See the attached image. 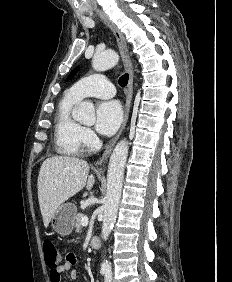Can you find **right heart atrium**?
Listing matches in <instances>:
<instances>
[{
	"label": "right heart atrium",
	"mask_w": 232,
	"mask_h": 282,
	"mask_svg": "<svg viewBox=\"0 0 232 282\" xmlns=\"http://www.w3.org/2000/svg\"><path fill=\"white\" fill-rule=\"evenodd\" d=\"M82 141L86 147L92 148L97 144L98 139L95 133L90 128L83 127Z\"/></svg>",
	"instance_id": "1"
}]
</instances>
